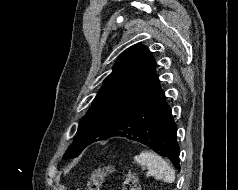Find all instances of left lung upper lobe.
Here are the masks:
<instances>
[{"label":"left lung upper lobe","instance_id":"obj_1","mask_svg":"<svg viewBox=\"0 0 238 190\" xmlns=\"http://www.w3.org/2000/svg\"><path fill=\"white\" fill-rule=\"evenodd\" d=\"M156 62L144 45L126 49L79 123L76 137L64 154L74 158L88 145L103 140L119 117L157 80Z\"/></svg>","mask_w":238,"mask_h":190}]
</instances>
